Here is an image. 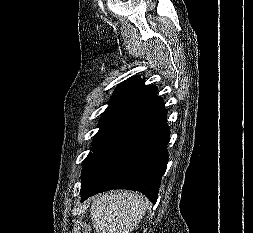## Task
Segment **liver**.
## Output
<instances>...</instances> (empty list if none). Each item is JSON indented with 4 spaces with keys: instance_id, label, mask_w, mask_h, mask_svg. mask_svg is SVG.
Here are the masks:
<instances>
[{
    "instance_id": "obj_1",
    "label": "liver",
    "mask_w": 253,
    "mask_h": 233,
    "mask_svg": "<svg viewBox=\"0 0 253 233\" xmlns=\"http://www.w3.org/2000/svg\"><path fill=\"white\" fill-rule=\"evenodd\" d=\"M148 202L135 192H109L95 196L90 217L96 233H130L145 215Z\"/></svg>"
}]
</instances>
